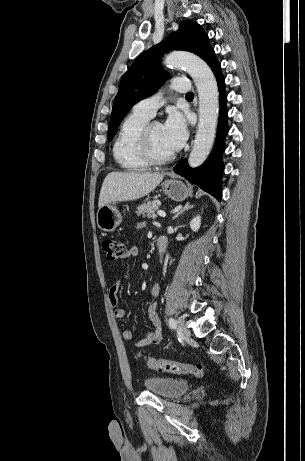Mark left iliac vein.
Wrapping results in <instances>:
<instances>
[{
    "label": "left iliac vein",
    "mask_w": 305,
    "mask_h": 461,
    "mask_svg": "<svg viewBox=\"0 0 305 461\" xmlns=\"http://www.w3.org/2000/svg\"><path fill=\"white\" fill-rule=\"evenodd\" d=\"M178 330L179 334L183 339L190 337V331L185 323V319L183 317L178 318Z\"/></svg>",
    "instance_id": "4c4485c4"
}]
</instances>
